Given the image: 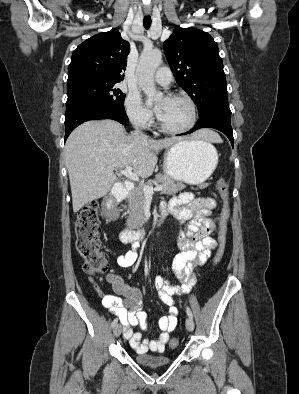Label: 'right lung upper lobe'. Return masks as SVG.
Masks as SVG:
<instances>
[{
  "label": "right lung upper lobe",
  "instance_id": "right-lung-upper-lobe-1",
  "mask_svg": "<svg viewBox=\"0 0 299 394\" xmlns=\"http://www.w3.org/2000/svg\"><path fill=\"white\" fill-rule=\"evenodd\" d=\"M129 52V43L121 38L117 29L85 40L72 54L67 87L91 82H121Z\"/></svg>",
  "mask_w": 299,
  "mask_h": 394
}]
</instances>
